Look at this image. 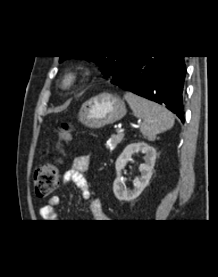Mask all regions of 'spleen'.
Returning <instances> with one entry per match:
<instances>
[{"label": "spleen", "mask_w": 218, "mask_h": 277, "mask_svg": "<svg viewBox=\"0 0 218 277\" xmlns=\"http://www.w3.org/2000/svg\"><path fill=\"white\" fill-rule=\"evenodd\" d=\"M124 98L134 115L143 120L140 131L149 140H154L157 134L174 125L173 114L161 105L133 93H126Z\"/></svg>", "instance_id": "spleen-1"}]
</instances>
